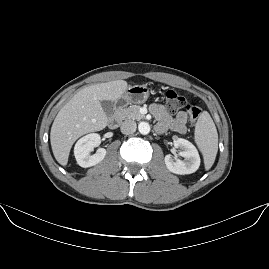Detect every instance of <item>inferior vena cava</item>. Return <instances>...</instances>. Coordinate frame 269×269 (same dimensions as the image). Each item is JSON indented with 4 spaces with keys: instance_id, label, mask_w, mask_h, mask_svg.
Instances as JSON below:
<instances>
[{
    "instance_id": "602c4592",
    "label": "inferior vena cava",
    "mask_w": 269,
    "mask_h": 269,
    "mask_svg": "<svg viewBox=\"0 0 269 269\" xmlns=\"http://www.w3.org/2000/svg\"><path fill=\"white\" fill-rule=\"evenodd\" d=\"M136 128V122L133 120H125L120 127L123 134H132L136 131Z\"/></svg>"
}]
</instances>
